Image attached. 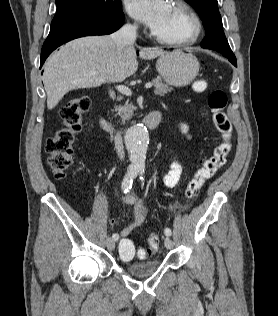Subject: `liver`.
Segmentation results:
<instances>
[{
  "mask_svg": "<svg viewBox=\"0 0 278 316\" xmlns=\"http://www.w3.org/2000/svg\"><path fill=\"white\" fill-rule=\"evenodd\" d=\"M161 54L150 48L139 51L142 59H154ZM137 69L135 48L128 45L118 50L111 36H87L70 41L44 66L47 106L53 109L72 90L99 87L108 80L122 82Z\"/></svg>",
  "mask_w": 278,
  "mask_h": 316,
  "instance_id": "6515ba94",
  "label": "liver"
}]
</instances>
